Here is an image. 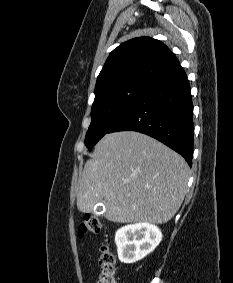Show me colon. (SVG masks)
I'll use <instances>...</instances> for the list:
<instances>
[{
  "instance_id": "5ec220e1",
  "label": "colon",
  "mask_w": 233,
  "mask_h": 283,
  "mask_svg": "<svg viewBox=\"0 0 233 283\" xmlns=\"http://www.w3.org/2000/svg\"><path fill=\"white\" fill-rule=\"evenodd\" d=\"M102 224L98 217L86 214L78 226L80 236L99 234ZM101 271L93 283H118L116 280V257L107 246L101 247L99 257Z\"/></svg>"
}]
</instances>
